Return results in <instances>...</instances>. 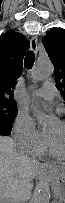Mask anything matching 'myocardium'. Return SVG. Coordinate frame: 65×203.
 Wrapping results in <instances>:
<instances>
[{"instance_id":"f54148a6","label":"myocardium","mask_w":65,"mask_h":203,"mask_svg":"<svg viewBox=\"0 0 65 203\" xmlns=\"http://www.w3.org/2000/svg\"><path fill=\"white\" fill-rule=\"evenodd\" d=\"M62 124L65 126V121L62 122ZM46 146L48 148L49 153L55 157V158H65V153H59L52 141L46 136Z\"/></svg>"}]
</instances>
